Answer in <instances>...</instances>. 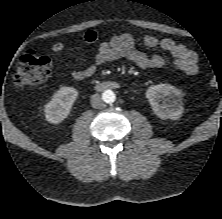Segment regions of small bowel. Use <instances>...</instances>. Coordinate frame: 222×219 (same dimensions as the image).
Returning a JSON list of instances; mask_svg holds the SVG:
<instances>
[{
    "mask_svg": "<svg viewBox=\"0 0 222 219\" xmlns=\"http://www.w3.org/2000/svg\"><path fill=\"white\" fill-rule=\"evenodd\" d=\"M83 39L88 44H95L98 41V35L95 31L90 30L84 34ZM143 41L148 48H158L168 52L173 57L174 65L179 71L187 75L198 73L197 55L184 45L169 38L159 39L154 35H146ZM63 50L64 44L61 42H56L51 47L53 55H58ZM119 59H124L141 69L160 68L166 62L162 54L147 55L138 50L131 34H115L109 40L99 44L94 65L85 69H75L70 74L75 80H84L96 73L97 66Z\"/></svg>",
    "mask_w": 222,
    "mask_h": 219,
    "instance_id": "c3829d8e",
    "label": "small bowel"
}]
</instances>
